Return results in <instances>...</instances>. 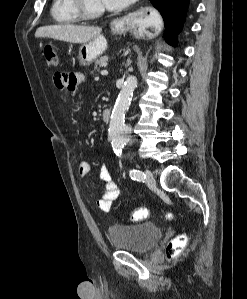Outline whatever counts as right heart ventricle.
I'll return each mask as SVG.
<instances>
[{"label": "right heart ventricle", "instance_id": "e07e8e85", "mask_svg": "<svg viewBox=\"0 0 247 299\" xmlns=\"http://www.w3.org/2000/svg\"><path fill=\"white\" fill-rule=\"evenodd\" d=\"M50 14L55 23L74 24L80 21L73 0H53Z\"/></svg>", "mask_w": 247, "mask_h": 299}]
</instances>
